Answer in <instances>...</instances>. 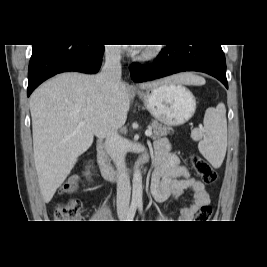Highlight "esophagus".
<instances>
[{"mask_svg": "<svg viewBox=\"0 0 267 267\" xmlns=\"http://www.w3.org/2000/svg\"><path fill=\"white\" fill-rule=\"evenodd\" d=\"M130 87L133 88V89H135V86L134 85H131Z\"/></svg>", "mask_w": 267, "mask_h": 267, "instance_id": "34e87169", "label": "esophagus"}]
</instances>
